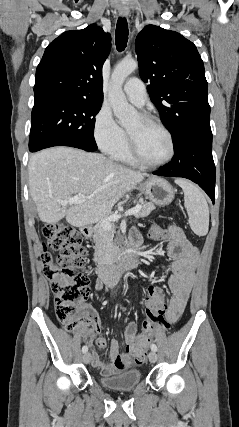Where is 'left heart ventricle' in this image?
Wrapping results in <instances>:
<instances>
[{"mask_svg":"<svg viewBox=\"0 0 239 427\" xmlns=\"http://www.w3.org/2000/svg\"><path fill=\"white\" fill-rule=\"evenodd\" d=\"M141 156L152 163L161 162L170 154V142L159 128L147 124L136 116L127 126Z\"/></svg>","mask_w":239,"mask_h":427,"instance_id":"left-heart-ventricle-1","label":"left heart ventricle"}]
</instances>
